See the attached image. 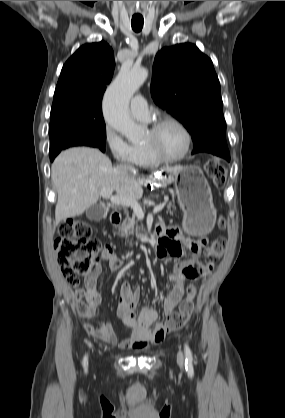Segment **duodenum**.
<instances>
[{
    "mask_svg": "<svg viewBox=\"0 0 285 418\" xmlns=\"http://www.w3.org/2000/svg\"><path fill=\"white\" fill-rule=\"evenodd\" d=\"M110 221L113 226L117 227L122 222V215L119 211H113L110 216Z\"/></svg>",
    "mask_w": 285,
    "mask_h": 418,
    "instance_id": "obj_1",
    "label": "duodenum"
}]
</instances>
